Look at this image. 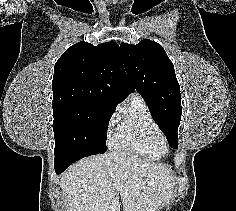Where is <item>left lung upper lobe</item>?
<instances>
[{"mask_svg": "<svg viewBox=\"0 0 236 211\" xmlns=\"http://www.w3.org/2000/svg\"><path fill=\"white\" fill-rule=\"evenodd\" d=\"M120 48L131 88L142 95L169 145L177 148L182 106L173 63L160 44L148 39Z\"/></svg>", "mask_w": 236, "mask_h": 211, "instance_id": "5c2ea615", "label": "left lung upper lobe"}]
</instances>
